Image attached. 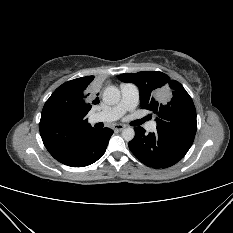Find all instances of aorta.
I'll return each mask as SVG.
<instances>
[{"mask_svg": "<svg viewBox=\"0 0 233 233\" xmlns=\"http://www.w3.org/2000/svg\"><path fill=\"white\" fill-rule=\"evenodd\" d=\"M102 99L103 102L108 105H115L121 99L120 90L115 86H108L107 88H105L103 92ZM134 136H135V131L133 128L128 127L123 129L122 137L124 140L131 141L133 140Z\"/></svg>", "mask_w": 233, "mask_h": 233, "instance_id": "1", "label": "aorta"}]
</instances>
